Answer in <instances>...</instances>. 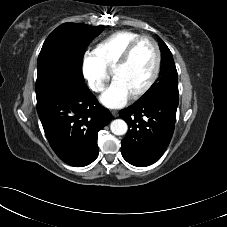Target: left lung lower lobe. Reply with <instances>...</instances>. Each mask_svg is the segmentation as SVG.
Instances as JSON below:
<instances>
[{"mask_svg": "<svg viewBox=\"0 0 227 227\" xmlns=\"http://www.w3.org/2000/svg\"><path fill=\"white\" fill-rule=\"evenodd\" d=\"M179 100L154 96L119 112L128 124L122 140V156L131 165L145 167L165 152L174 132Z\"/></svg>", "mask_w": 227, "mask_h": 227, "instance_id": "left-lung-lower-lobe-1", "label": "left lung lower lobe"}]
</instances>
